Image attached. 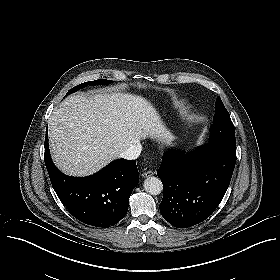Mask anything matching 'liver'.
<instances>
[{
  "instance_id": "obj_1",
  "label": "liver",
  "mask_w": 280,
  "mask_h": 280,
  "mask_svg": "<svg viewBox=\"0 0 280 280\" xmlns=\"http://www.w3.org/2000/svg\"><path fill=\"white\" fill-rule=\"evenodd\" d=\"M55 165L71 176H88L119 157L135 141L171 136L143 97L128 93L73 95L48 120Z\"/></svg>"
}]
</instances>
